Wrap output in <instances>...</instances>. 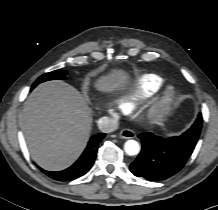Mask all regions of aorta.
<instances>
[{
    "label": "aorta",
    "mask_w": 218,
    "mask_h": 210,
    "mask_svg": "<svg viewBox=\"0 0 218 210\" xmlns=\"http://www.w3.org/2000/svg\"><path fill=\"white\" fill-rule=\"evenodd\" d=\"M124 150L130 156L137 155L140 152V145L135 140H128L124 144Z\"/></svg>",
    "instance_id": "762f6f07"
}]
</instances>
